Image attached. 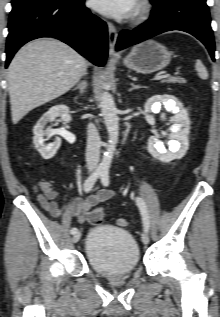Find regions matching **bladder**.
<instances>
[{
	"label": "bladder",
	"mask_w": 220,
	"mask_h": 317,
	"mask_svg": "<svg viewBox=\"0 0 220 317\" xmlns=\"http://www.w3.org/2000/svg\"><path fill=\"white\" fill-rule=\"evenodd\" d=\"M84 251L88 266L102 275L132 273L140 262V250L134 236L117 227L92 228L87 234Z\"/></svg>",
	"instance_id": "31cf9c89"
}]
</instances>
